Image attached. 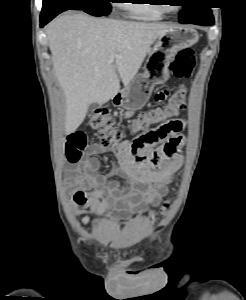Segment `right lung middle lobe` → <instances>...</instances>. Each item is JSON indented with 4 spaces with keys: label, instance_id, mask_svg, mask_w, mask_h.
<instances>
[{
    "label": "right lung middle lobe",
    "instance_id": "1",
    "mask_svg": "<svg viewBox=\"0 0 246 300\" xmlns=\"http://www.w3.org/2000/svg\"><path fill=\"white\" fill-rule=\"evenodd\" d=\"M62 8L83 10L93 16L107 15L111 11L109 0H43L41 15Z\"/></svg>",
    "mask_w": 246,
    "mask_h": 300
}]
</instances>
